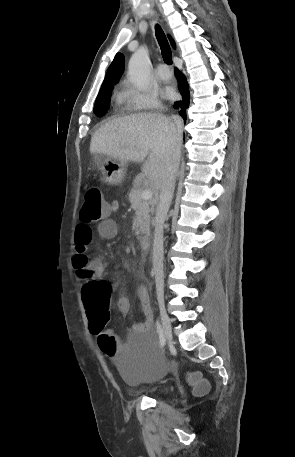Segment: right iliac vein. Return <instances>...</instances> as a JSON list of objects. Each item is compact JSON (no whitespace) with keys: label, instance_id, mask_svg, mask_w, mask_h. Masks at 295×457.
Returning <instances> with one entry per match:
<instances>
[{"label":"right iliac vein","instance_id":"right-iliac-vein-1","mask_svg":"<svg viewBox=\"0 0 295 457\" xmlns=\"http://www.w3.org/2000/svg\"><path fill=\"white\" fill-rule=\"evenodd\" d=\"M159 310H160V318L162 323V329L165 335V338L168 341H172V329H171V322L169 316L167 315L165 306L163 303H159Z\"/></svg>","mask_w":295,"mask_h":457}]
</instances>
